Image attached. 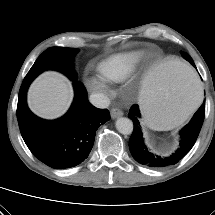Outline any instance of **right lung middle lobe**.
<instances>
[{
	"instance_id": "obj_1",
	"label": "right lung middle lobe",
	"mask_w": 215,
	"mask_h": 215,
	"mask_svg": "<svg viewBox=\"0 0 215 215\" xmlns=\"http://www.w3.org/2000/svg\"><path fill=\"white\" fill-rule=\"evenodd\" d=\"M77 52L78 49L65 47H52L47 49L37 58L24 78V81L26 80L30 83L38 74L48 69L58 70L72 80H75L76 73L72 67V59ZM21 98H23L22 94H20Z\"/></svg>"
}]
</instances>
